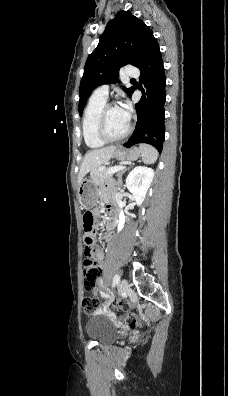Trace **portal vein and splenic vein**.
I'll list each match as a JSON object with an SVG mask.
<instances>
[{"label":"portal vein and splenic vein","mask_w":228,"mask_h":396,"mask_svg":"<svg viewBox=\"0 0 228 396\" xmlns=\"http://www.w3.org/2000/svg\"><path fill=\"white\" fill-rule=\"evenodd\" d=\"M125 168V166L119 165V166H114L108 169L107 174H114L120 170H123Z\"/></svg>","instance_id":"portal-vein-and-splenic-vein-1"}]
</instances>
